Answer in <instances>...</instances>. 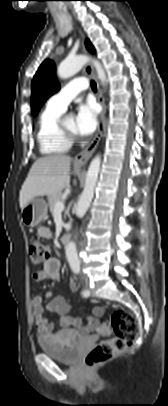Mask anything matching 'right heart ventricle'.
<instances>
[{"mask_svg":"<svg viewBox=\"0 0 168 406\" xmlns=\"http://www.w3.org/2000/svg\"><path fill=\"white\" fill-rule=\"evenodd\" d=\"M64 111L46 106L42 111L37 131L40 152L45 155L64 153L69 150V140L60 130L59 119Z\"/></svg>","mask_w":168,"mask_h":406,"instance_id":"e07e8e85","label":"right heart ventricle"}]
</instances>
